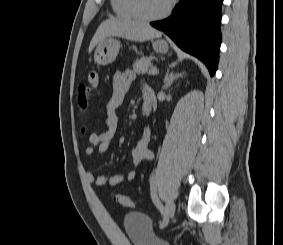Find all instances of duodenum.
Instances as JSON below:
<instances>
[{"instance_id": "410a0bca", "label": "duodenum", "mask_w": 283, "mask_h": 245, "mask_svg": "<svg viewBox=\"0 0 283 245\" xmlns=\"http://www.w3.org/2000/svg\"><path fill=\"white\" fill-rule=\"evenodd\" d=\"M152 97L149 93H144L143 96V104H142V112L144 115H149L152 111Z\"/></svg>"}]
</instances>
